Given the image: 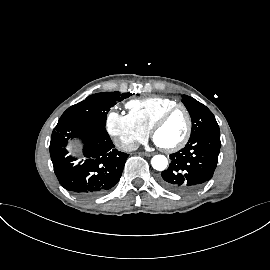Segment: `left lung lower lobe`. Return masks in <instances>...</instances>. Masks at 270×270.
I'll list each match as a JSON object with an SVG mask.
<instances>
[{"label":"left lung lower lobe","mask_w":270,"mask_h":270,"mask_svg":"<svg viewBox=\"0 0 270 270\" xmlns=\"http://www.w3.org/2000/svg\"><path fill=\"white\" fill-rule=\"evenodd\" d=\"M220 133H202L170 155L171 163L159 179L166 189L182 195L192 194L213 176L218 162Z\"/></svg>","instance_id":"obj_1"}]
</instances>
